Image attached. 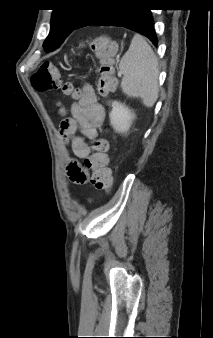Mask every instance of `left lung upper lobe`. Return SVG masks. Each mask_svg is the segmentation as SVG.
<instances>
[{
  "label": "left lung upper lobe",
  "mask_w": 213,
  "mask_h": 338,
  "mask_svg": "<svg viewBox=\"0 0 213 338\" xmlns=\"http://www.w3.org/2000/svg\"><path fill=\"white\" fill-rule=\"evenodd\" d=\"M109 0H56L51 29L43 47L46 51L59 48L76 25L98 4Z\"/></svg>",
  "instance_id": "left-lung-upper-lobe-1"
}]
</instances>
